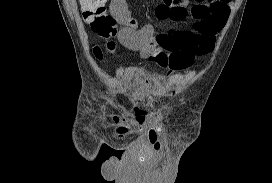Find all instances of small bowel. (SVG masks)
<instances>
[{
  "label": "small bowel",
  "mask_w": 272,
  "mask_h": 183,
  "mask_svg": "<svg viewBox=\"0 0 272 183\" xmlns=\"http://www.w3.org/2000/svg\"><path fill=\"white\" fill-rule=\"evenodd\" d=\"M231 3L232 0H199L188 9L189 0H161L156 15L167 21L170 28L155 34L152 25L139 23L126 11L117 38L121 45L143 58L164 54L171 69H186L195 58L213 49L217 34L227 22ZM188 14L191 21L186 23ZM113 119L117 123L129 120L142 124L144 115L135 111L114 115Z\"/></svg>",
  "instance_id": "small-bowel-1"
}]
</instances>
